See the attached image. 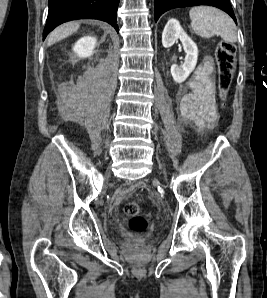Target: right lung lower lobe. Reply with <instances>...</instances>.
Instances as JSON below:
<instances>
[{
    "label": "right lung lower lobe",
    "mask_w": 267,
    "mask_h": 298,
    "mask_svg": "<svg viewBox=\"0 0 267 298\" xmlns=\"http://www.w3.org/2000/svg\"><path fill=\"white\" fill-rule=\"evenodd\" d=\"M47 23L43 39L56 26L76 19H99L108 22L118 32L119 0H49Z\"/></svg>",
    "instance_id": "right-lung-lower-lobe-1"
}]
</instances>
